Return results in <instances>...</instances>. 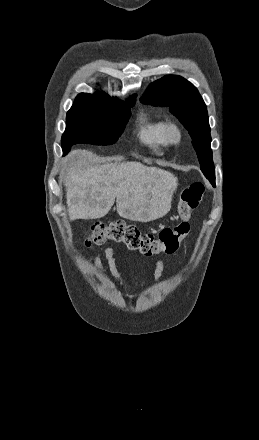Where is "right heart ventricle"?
I'll list each match as a JSON object with an SVG mask.
<instances>
[{
	"mask_svg": "<svg viewBox=\"0 0 259 440\" xmlns=\"http://www.w3.org/2000/svg\"><path fill=\"white\" fill-rule=\"evenodd\" d=\"M167 119L156 112H144L137 127V137L141 143L155 152L164 149L168 142L165 138Z\"/></svg>",
	"mask_w": 259,
	"mask_h": 440,
	"instance_id": "obj_1",
	"label": "right heart ventricle"
}]
</instances>
